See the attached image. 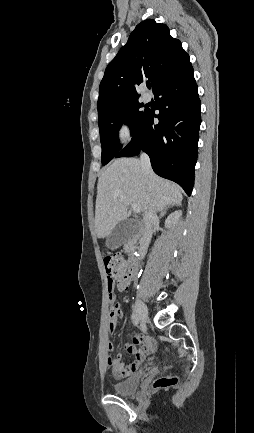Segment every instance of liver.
<instances>
[{
  "instance_id": "liver-1",
  "label": "liver",
  "mask_w": 254,
  "mask_h": 433,
  "mask_svg": "<svg viewBox=\"0 0 254 433\" xmlns=\"http://www.w3.org/2000/svg\"><path fill=\"white\" fill-rule=\"evenodd\" d=\"M180 187L147 173L136 158L116 159L99 177L95 206V232L98 238L110 235L114 227L128 217L130 204H137L143 214L150 207L155 211L180 205Z\"/></svg>"
}]
</instances>
